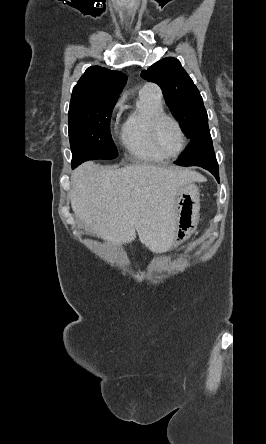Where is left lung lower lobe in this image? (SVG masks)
Masks as SVG:
<instances>
[{
    "mask_svg": "<svg viewBox=\"0 0 266 444\" xmlns=\"http://www.w3.org/2000/svg\"><path fill=\"white\" fill-rule=\"evenodd\" d=\"M175 163L180 166H200L210 171L219 182L218 163L214 154L210 131L193 139L187 150L180 155Z\"/></svg>",
    "mask_w": 266,
    "mask_h": 444,
    "instance_id": "1",
    "label": "left lung lower lobe"
}]
</instances>
